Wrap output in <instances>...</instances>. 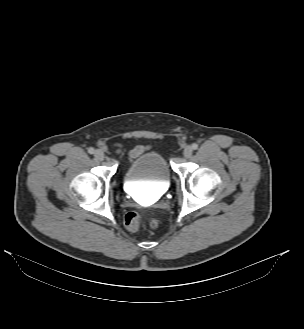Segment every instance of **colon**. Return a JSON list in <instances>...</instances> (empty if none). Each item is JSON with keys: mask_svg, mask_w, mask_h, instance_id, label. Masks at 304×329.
Listing matches in <instances>:
<instances>
[{"mask_svg": "<svg viewBox=\"0 0 304 329\" xmlns=\"http://www.w3.org/2000/svg\"><path fill=\"white\" fill-rule=\"evenodd\" d=\"M124 224L130 231H137L143 226L144 221L138 213L131 211L125 215ZM149 225L152 229H156L158 227V221L151 219Z\"/></svg>", "mask_w": 304, "mask_h": 329, "instance_id": "obj_1", "label": "colon"}]
</instances>
